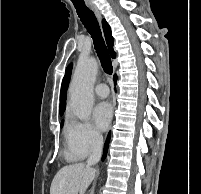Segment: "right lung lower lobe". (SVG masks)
I'll return each mask as SVG.
<instances>
[{"label": "right lung lower lobe", "instance_id": "obj_1", "mask_svg": "<svg viewBox=\"0 0 201 194\" xmlns=\"http://www.w3.org/2000/svg\"><path fill=\"white\" fill-rule=\"evenodd\" d=\"M116 79H117V77L114 76V82H116ZM109 140H110V133L108 134V137H107V140H106V143H105L104 155H103L102 159H104L105 156H106Z\"/></svg>", "mask_w": 201, "mask_h": 194}]
</instances>
